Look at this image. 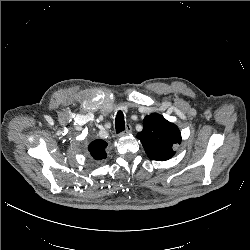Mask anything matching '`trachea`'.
Here are the masks:
<instances>
[{
    "label": "trachea",
    "mask_w": 250,
    "mask_h": 250,
    "mask_svg": "<svg viewBox=\"0 0 250 250\" xmlns=\"http://www.w3.org/2000/svg\"><path fill=\"white\" fill-rule=\"evenodd\" d=\"M115 129L116 133H120L125 130V120L124 115L121 111H119L116 115L115 119Z\"/></svg>",
    "instance_id": "obj_1"
}]
</instances>
